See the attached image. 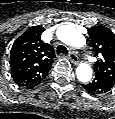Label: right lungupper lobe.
<instances>
[{
  "label": "right lung upper lobe",
  "mask_w": 115,
  "mask_h": 119,
  "mask_svg": "<svg viewBox=\"0 0 115 119\" xmlns=\"http://www.w3.org/2000/svg\"><path fill=\"white\" fill-rule=\"evenodd\" d=\"M42 31L41 26L30 27L11 48V76L18 86L33 88L51 69L55 51L41 40Z\"/></svg>",
  "instance_id": "right-lung-upper-lobe-1"
}]
</instances>
